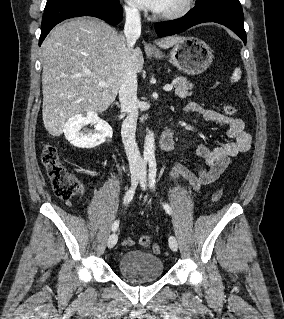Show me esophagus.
I'll list each match as a JSON object with an SVG mask.
<instances>
[{"mask_svg": "<svg viewBox=\"0 0 284 319\" xmlns=\"http://www.w3.org/2000/svg\"><path fill=\"white\" fill-rule=\"evenodd\" d=\"M147 49H148V50H154V47H152V46H147Z\"/></svg>", "mask_w": 284, "mask_h": 319, "instance_id": "obj_1", "label": "esophagus"}]
</instances>
